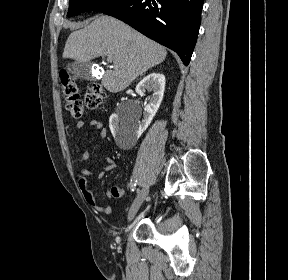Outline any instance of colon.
Returning a JSON list of instances; mask_svg holds the SVG:
<instances>
[{
    "label": "colon",
    "instance_id": "colon-1",
    "mask_svg": "<svg viewBox=\"0 0 288 280\" xmlns=\"http://www.w3.org/2000/svg\"><path fill=\"white\" fill-rule=\"evenodd\" d=\"M60 80L64 96L66 98V108L74 118H80L84 112V105L88 109L98 108L104 98L105 92L103 87L98 83H90L84 95V102L80 98L76 80L66 71L60 74Z\"/></svg>",
    "mask_w": 288,
    "mask_h": 280
}]
</instances>
